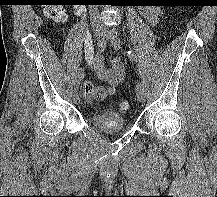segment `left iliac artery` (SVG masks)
Listing matches in <instances>:
<instances>
[{
    "mask_svg": "<svg viewBox=\"0 0 217 197\" xmlns=\"http://www.w3.org/2000/svg\"><path fill=\"white\" fill-rule=\"evenodd\" d=\"M110 40H111V43L114 45L115 48L117 49H121L122 48V43L119 39V36H118V33L116 31L115 28H113L111 31H110ZM127 55L130 59L134 60V61H137L138 60V56L136 55V53L132 50H127Z\"/></svg>",
    "mask_w": 217,
    "mask_h": 197,
    "instance_id": "1",
    "label": "left iliac artery"
}]
</instances>
